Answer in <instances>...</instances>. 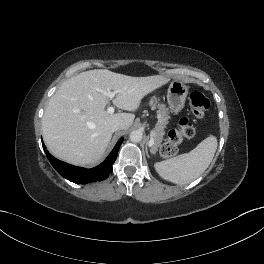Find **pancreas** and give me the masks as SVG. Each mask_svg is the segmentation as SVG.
I'll use <instances>...</instances> for the list:
<instances>
[{
    "mask_svg": "<svg viewBox=\"0 0 264 264\" xmlns=\"http://www.w3.org/2000/svg\"><path fill=\"white\" fill-rule=\"evenodd\" d=\"M158 101V99L152 98L149 103L152 109H158V121L154 130V144L151 147L152 153H156L158 148L162 146L161 143L163 141L164 129L166 128V125L170 119L169 109L166 108L165 104L158 103Z\"/></svg>",
    "mask_w": 264,
    "mask_h": 264,
    "instance_id": "obj_1",
    "label": "pancreas"
}]
</instances>
